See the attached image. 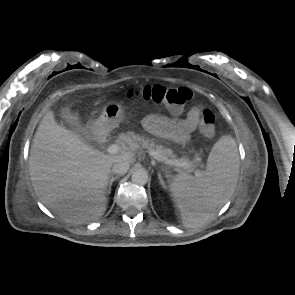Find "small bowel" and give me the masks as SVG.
<instances>
[{"label":"small bowel","instance_id":"1","mask_svg":"<svg viewBox=\"0 0 295 295\" xmlns=\"http://www.w3.org/2000/svg\"><path fill=\"white\" fill-rule=\"evenodd\" d=\"M202 114V108L195 106L189 110L183 119L168 118L162 115H149L144 119L145 128L164 139L176 142H186L195 130Z\"/></svg>","mask_w":295,"mask_h":295}]
</instances>
